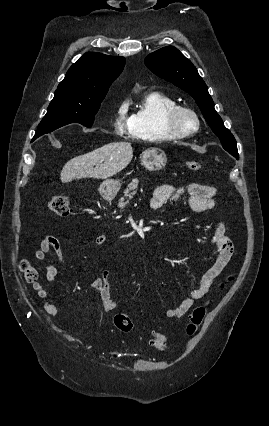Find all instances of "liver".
I'll return each instance as SVG.
<instances>
[{"mask_svg": "<svg viewBox=\"0 0 269 426\" xmlns=\"http://www.w3.org/2000/svg\"><path fill=\"white\" fill-rule=\"evenodd\" d=\"M133 158L129 142H113L69 160L60 173L63 183L75 179H107L123 170Z\"/></svg>", "mask_w": 269, "mask_h": 426, "instance_id": "6515ba94", "label": "liver"}]
</instances>
